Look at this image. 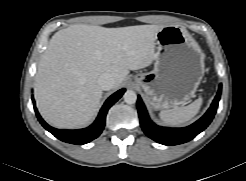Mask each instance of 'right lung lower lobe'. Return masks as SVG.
I'll list each match as a JSON object with an SVG mask.
<instances>
[{"mask_svg":"<svg viewBox=\"0 0 246 181\" xmlns=\"http://www.w3.org/2000/svg\"><path fill=\"white\" fill-rule=\"evenodd\" d=\"M124 92H125V89H120L119 91L111 95L104 103L95 122L91 126L85 129L60 130V129L53 128L49 126L41 118L40 114L38 113L35 107V104H34V110L42 126L46 130H48L50 133H52L56 138L64 142H67V143L82 145V144H86L92 141L93 139L97 138L101 134L102 130L104 129L105 118H106L108 109L124 94ZM32 101L34 102L33 97H32Z\"/></svg>","mask_w":246,"mask_h":181,"instance_id":"1","label":"right lung lower lobe"}]
</instances>
